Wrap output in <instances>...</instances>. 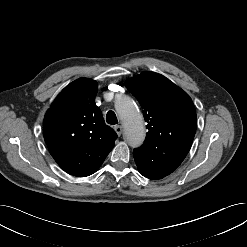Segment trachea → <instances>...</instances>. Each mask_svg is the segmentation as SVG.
<instances>
[{
	"label": "trachea",
	"instance_id": "obj_1",
	"mask_svg": "<svg viewBox=\"0 0 247 247\" xmlns=\"http://www.w3.org/2000/svg\"><path fill=\"white\" fill-rule=\"evenodd\" d=\"M106 121L108 124L115 125L118 123L116 114L113 111H108L106 115Z\"/></svg>",
	"mask_w": 247,
	"mask_h": 247
}]
</instances>
